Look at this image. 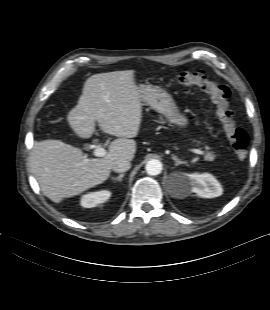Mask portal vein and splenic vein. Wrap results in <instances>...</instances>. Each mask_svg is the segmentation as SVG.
<instances>
[{"label":"portal vein and splenic vein","mask_w":270,"mask_h":310,"mask_svg":"<svg viewBox=\"0 0 270 310\" xmlns=\"http://www.w3.org/2000/svg\"><path fill=\"white\" fill-rule=\"evenodd\" d=\"M191 151L198 155H204V151L199 149H191ZM94 156L96 157H104L106 155V150L103 148L101 144H98L93 151Z\"/></svg>","instance_id":"1"}]
</instances>
